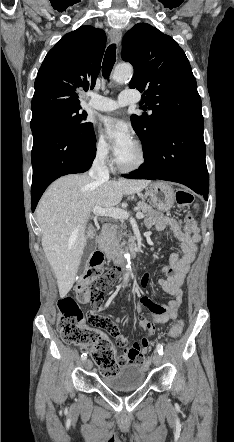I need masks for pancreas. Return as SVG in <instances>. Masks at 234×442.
Instances as JSON below:
<instances>
[{"label":"pancreas","mask_w":234,"mask_h":442,"mask_svg":"<svg viewBox=\"0 0 234 442\" xmlns=\"http://www.w3.org/2000/svg\"><path fill=\"white\" fill-rule=\"evenodd\" d=\"M140 212L143 214L149 215L153 212V206L149 205L145 202H138L136 207ZM126 236L129 238V241L133 240L130 233L127 232H117L114 229V226L107 229L103 235V239L106 240V243L104 246V251L107 254H111L112 251L119 245V242L121 241L122 237Z\"/></svg>","instance_id":"1"}]
</instances>
